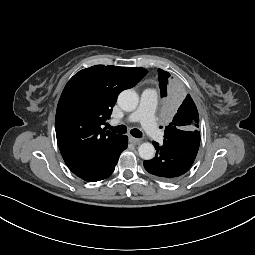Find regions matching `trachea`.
Returning a JSON list of instances; mask_svg holds the SVG:
<instances>
[{
  "label": "trachea",
  "instance_id": "obj_1",
  "mask_svg": "<svg viewBox=\"0 0 255 255\" xmlns=\"http://www.w3.org/2000/svg\"><path fill=\"white\" fill-rule=\"evenodd\" d=\"M108 128L116 133L124 134L127 132V127L125 125H119L116 127H111L108 125ZM131 135L136 137V138H141L142 137V132L138 129H132L130 131Z\"/></svg>",
  "mask_w": 255,
  "mask_h": 255
}]
</instances>
